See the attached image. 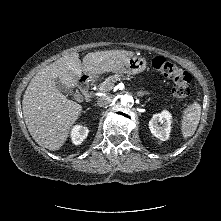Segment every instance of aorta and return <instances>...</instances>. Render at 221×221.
I'll return each instance as SVG.
<instances>
[{"mask_svg":"<svg viewBox=\"0 0 221 221\" xmlns=\"http://www.w3.org/2000/svg\"><path fill=\"white\" fill-rule=\"evenodd\" d=\"M133 102V98L130 95H123L121 98V104L122 105H127L129 103Z\"/></svg>","mask_w":221,"mask_h":221,"instance_id":"aorta-1","label":"aorta"}]
</instances>
